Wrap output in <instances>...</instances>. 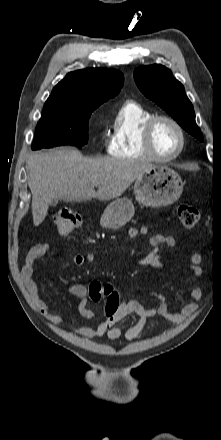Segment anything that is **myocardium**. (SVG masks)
<instances>
[{
  "label": "myocardium",
  "instance_id": "f54148a6",
  "mask_svg": "<svg viewBox=\"0 0 221 440\" xmlns=\"http://www.w3.org/2000/svg\"><path fill=\"white\" fill-rule=\"evenodd\" d=\"M160 121L171 123L177 129L180 136V146L178 150L170 156L159 155L153 145L154 129ZM142 141L144 149L151 159L158 162H170L178 158L184 151L186 146V135L182 125L173 117L168 115H153L143 125Z\"/></svg>",
  "mask_w": 221,
  "mask_h": 440
}]
</instances>
